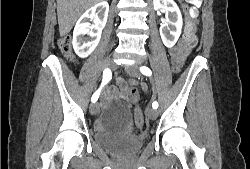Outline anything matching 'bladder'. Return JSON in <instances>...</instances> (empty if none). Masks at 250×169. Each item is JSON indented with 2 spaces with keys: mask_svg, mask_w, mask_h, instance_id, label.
<instances>
[{
  "mask_svg": "<svg viewBox=\"0 0 250 169\" xmlns=\"http://www.w3.org/2000/svg\"><path fill=\"white\" fill-rule=\"evenodd\" d=\"M132 134L126 133H94L93 141L95 145L100 148L114 152L120 156L134 155L140 150L142 140L146 139H132Z\"/></svg>",
  "mask_w": 250,
  "mask_h": 169,
  "instance_id": "1",
  "label": "bladder"
}]
</instances>
